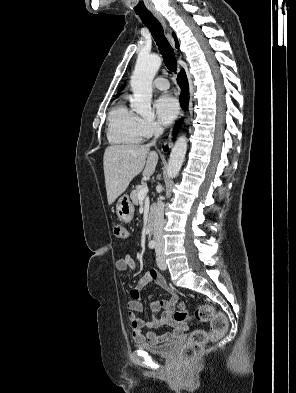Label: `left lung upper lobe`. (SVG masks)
I'll list each match as a JSON object with an SVG mask.
<instances>
[{"instance_id": "1", "label": "left lung upper lobe", "mask_w": 296, "mask_h": 393, "mask_svg": "<svg viewBox=\"0 0 296 393\" xmlns=\"http://www.w3.org/2000/svg\"><path fill=\"white\" fill-rule=\"evenodd\" d=\"M124 88V85L119 89V91L118 92H120L122 89Z\"/></svg>"}]
</instances>
